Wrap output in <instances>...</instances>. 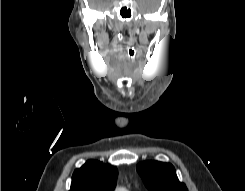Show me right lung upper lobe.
Returning <instances> with one entry per match:
<instances>
[{"label": "right lung upper lobe", "mask_w": 245, "mask_h": 191, "mask_svg": "<svg viewBox=\"0 0 245 191\" xmlns=\"http://www.w3.org/2000/svg\"><path fill=\"white\" fill-rule=\"evenodd\" d=\"M116 182V167L89 160L74 171L69 191H113Z\"/></svg>", "instance_id": "right-lung-upper-lobe-1"}]
</instances>
